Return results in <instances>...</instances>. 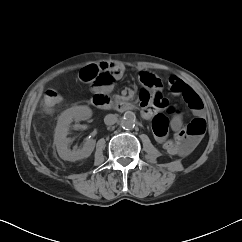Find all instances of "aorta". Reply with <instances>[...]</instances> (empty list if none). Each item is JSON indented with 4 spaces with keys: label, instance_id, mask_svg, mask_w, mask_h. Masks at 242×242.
<instances>
[{
    "label": "aorta",
    "instance_id": "762f6f07",
    "mask_svg": "<svg viewBox=\"0 0 242 242\" xmlns=\"http://www.w3.org/2000/svg\"><path fill=\"white\" fill-rule=\"evenodd\" d=\"M136 116L132 111H126L121 121L122 128L126 130H131L135 126Z\"/></svg>",
    "mask_w": 242,
    "mask_h": 242
}]
</instances>
